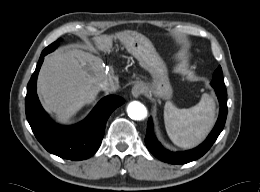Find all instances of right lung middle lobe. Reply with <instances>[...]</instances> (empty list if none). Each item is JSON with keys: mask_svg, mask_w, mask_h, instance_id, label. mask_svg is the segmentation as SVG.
<instances>
[{"mask_svg": "<svg viewBox=\"0 0 260 192\" xmlns=\"http://www.w3.org/2000/svg\"><path fill=\"white\" fill-rule=\"evenodd\" d=\"M60 39H58L56 42L52 43L51 45H49L48 47H46L43 51L46 53H50L52 51H54L59 43Z\"/></svg>", "mask_w": 260, "mask_h": 192, "instance_id": "obj_1", "label": "right lung middle lobe"}]
</instances>
